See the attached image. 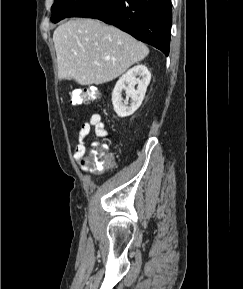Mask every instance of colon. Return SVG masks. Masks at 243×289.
Segmentation results:
<instances>
[{
  "label": "colon",
  "instance_id": "1",
  "mask_svg": "<svg viewBox=\"0 0 243 289\" xmlns=\"http://www.w3.org/2000/svg\"><path fill=\"white\" fill-rule=\"evenodd\" d=\"M70 102L73 105H81L100 97V93L96 88L75 89L69 94ZM95 149L86 157L85 162L91 166L95 171H104L114 164L113 156L107 151L106 146L95 142L93 144Z\"/></svg>",
  "mask_w": 243,
  "mask_h": 289
}]
</instances>
